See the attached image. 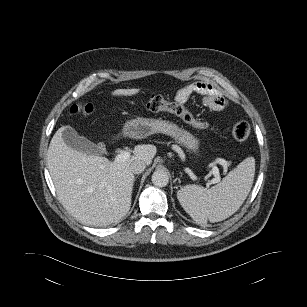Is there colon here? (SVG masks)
I'll return each instance as SVG.
<instances>
[{
  "instance_id": "5ec220e1",
  "label": "colon",
  "mask_w": 307,
  "mask_h": 307,
  "mask_svg": "<svg viewBox=\"0 0 307 307\" xmlns=\"http://www.w3.org/2000/svg\"><path fill=\"white\" fill-rule=\"evenodd\" d=\"M146 106L153 112H170L197 129L206 130L209 128V124L207 122L196 119L183 104L168 101L160 95H151L147 100ZM71 111L76 116L88 117L93 112V106L90 103L80 102L74 105ZM232 135L238 141L247 140L250 136V127L248 123L245 121L236 122L232 126Z\"/></svg>"
}]
</instances>
